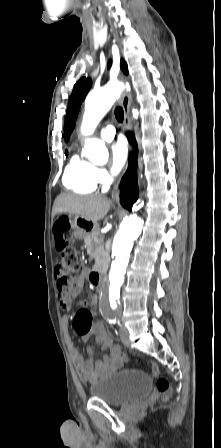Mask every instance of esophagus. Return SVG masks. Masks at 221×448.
I'll return each mask as SVG.
<instances>
[{
	"label": "esophagus",
	"instance_id": "1",
	"mask_svg": "<svg viewBox=\"0 0 221 448\" xmlns=\"http://www.w3.org/2000/svg\"><path fill=\"white\" fill-rule=\"evenodd\" d=\"M130 102V94L128 93V91H124L121 95V103L124 111V125L128 130H132V123L130 118ZM113 200L117 203L119 202V192L117 188L114 190Z\"/></svg>",
	"mask_w": 221,
	"mask_h": 448
}]
</instances>
